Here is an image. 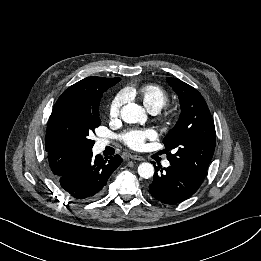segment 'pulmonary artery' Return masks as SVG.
Returning a JSON list of instances; mask_svg holds the SVG:
<instances>
[{"mask_svg": "<svg viewBox=\"0 0 261 261\" xmlns=\"http://www.w3.org/2000/svg\"><path fill=\"white\" fill-rule=\"evenodd\" d=\"M153 114H155V113H153ZM100 144H101V146H104V145L107 144V142L106 141H102ZM163 165H164V167H169L170 163L168 161H165Z\"/></svg>", "mask_w": 261, "mask_h": 261, "instance_id": "pulmonary-artery-1", "label": "pulmonary artery"}]
</instances>
